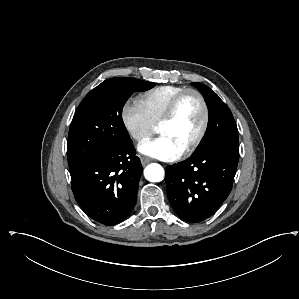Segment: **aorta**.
Returning a JSON list of instances; mask_svg holds the SVG:
<instances>
[{
	"label": "aorta",
	"mask_w": 299,
	"mask_h": 299,
	"mask_svg": "<svg viewBox=\"0 0 299 299\" xmlns=\"http://www.w3.org/2000/svg\"><path fill=\"white\" fill-rule=\"evenodd\" d=\"M164 175L163 167L157 163L147 165L144 170V176L150 182H160L163 180Z\"/></svg>",
	"instance_id": "aorta-1"
}]
</instances>
